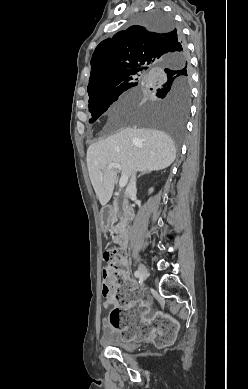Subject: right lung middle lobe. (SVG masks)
I'll return each instance as SVG.
<instances>
[{"mask_svg":"<svg viewBox=\"0 0 248 389\" xmlns=\"http://www.w3.org/2000/svg\"><path fill=\"white\" fill-rule=\"evenodd\" d=\"M143 25L152 30L169 31L175 28L173 18L162 10H154L141 17ZM154 91L160 101L154 105L124 106L126 117L144 125L163 129L173 138L176 146L182 143L185 121L191 99V72L186 59L171 58L155 69ZM135 70L116 78L110 85L101 87L89 95L90 123L95 122L119 96L138 85Z\"/></svg>","mask_w":248,"mask_h":389,"instance_id":"1","label":"right lung middle lobe"}]
</instances>
